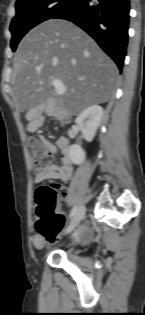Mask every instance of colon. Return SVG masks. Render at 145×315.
<instances>
[{"mask_svg":"<svg viewBox=\"0 0 145 315\" xmlns=\"http://www.w3.org/2000/svg\"><path fill=\"white\" fill-rule=\"evenodd\" d=\"M32 163L36 172L45 170L51 164V152L44 140L36 137L29 139ZM57 185L39 187L35 192L36 230L47 241L52 242L65 224V216L58 210Z\"/></svg>","mask_w":145,"mask_h":315,"instance_id":"colon-1","label":"colon"}]
</instances>
